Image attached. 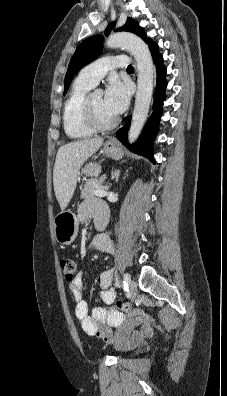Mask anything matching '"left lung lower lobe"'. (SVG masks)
<instances>
[{"label": "left lung lower lobe", "instance_id": "obj_1", "mask_svg": "<svg viewBox=\"0 0 227 396\" xmlns=\"http://www.w3.org/2000/svg\"><path fill=\"white\" fill-rule=\"evenodd\" d=\"M146 43L149 44V49L152 53L157 69V86L153 104L154 111L147 127L142 134L141 139L136 144L131 146L128 144V130L130 128V120L127 121L123 128L117 131L116 137L130 150L140 155H144L155 164L152 153V141L157 134L158 124L162 115L161 109L163 101L165 100V88L167 82L165 80L166 69L163 65V58L158 52L157 44L151 40Z\"/></svg>", "mask_w": 227, "mask_h": 396}]
</instances>
